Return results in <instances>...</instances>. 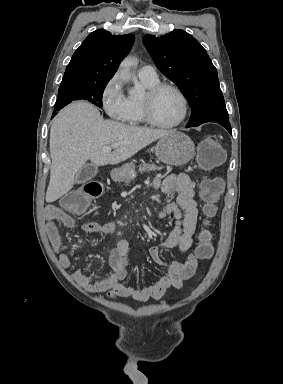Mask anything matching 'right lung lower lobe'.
<instances>
[{
	"instance_id": "1",
	"label": "right lung lower lobe",
	"mask_w": 283,
	"mask_h": 384,
	"mask_svg": "<svg viewBox=\"0 0 283 384\" xmlns=\"http://www.w3.org/2000/svg\"><path fill=\"white\" fill-rule=\"evenodd\" d=\"M60 110V109H59ZM55 111H58V109H55ZM56 112H53L52 118L56 115Z\"/></svg>"
}]
</instances>
